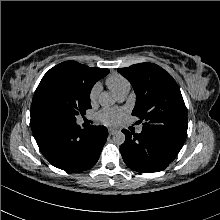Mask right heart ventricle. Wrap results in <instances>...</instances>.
<instances>
[{
	"instance_id": "1",
	"label": "right heart ventricle",
	"mask_w": 220,
	"mask_h": 220,
	"mask_svg": "<svg viewBox=\"0 0 220 220\" xmlns=\"http://www.w3.org/2000/svg\"><path fill=\"white\" fill-rule=\"evenodd\" d=\"M106 84L116 95L122 90L130 88L128 80L118 74L110 75L106 80Z\"/></svg>"
}]
</instances>
